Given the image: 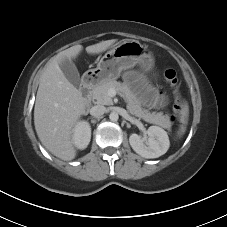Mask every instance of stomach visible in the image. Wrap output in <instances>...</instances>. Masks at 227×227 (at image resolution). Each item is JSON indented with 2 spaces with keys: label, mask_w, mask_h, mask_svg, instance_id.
Instances as JSON below:
<instances>
[{
  "label": "stomach",
  "mask_w": 227,
  "mask_h": 227,
  "mask_svg": "<svg viewBox=\"0 0 227 227\" xmlns=\"http://www.w3.org/2000/svg\"><path fill=\"white\" fill-rule=\"evenodd\" d=\"M154 57L151 51L137 41H124L107 51L99 60L97 67L85 72V76L94 84L115 80L125 69L139 65L145 73L154 68Z\"/></svg>",
  "instance_id": "stomach-1"
}]
</instances>
